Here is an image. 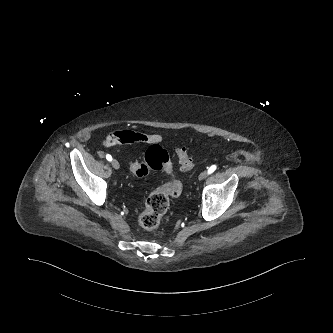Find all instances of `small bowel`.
Masks as SVG:
<instances>
[{
	"instance_id": "c3829d8e",
	"label": "small bowel",
	"mask_w": 333,
	"mask_h": 333,
	"mask_svg": "<svg viewBox=\"0 0 333 333\" xmlns=\"http://www.w3.org/2000/svg\"><path fill=\"white\" fill-rule=\"evenodd\" d=\"M110 138L115 144L143 143L152 145L159 144L163 140V137L160 134H148L129 130L116 131L110 135Z\"/></svg>"
}]
</instances>
